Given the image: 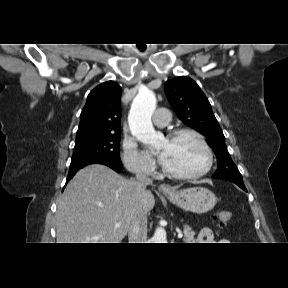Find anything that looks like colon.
Instances as JSON below:
<instances>
[{
    "label": "colon",
    "mask_w": 288,
    "mask_h": 288,
    "mask_svg": "<svg viewBox=\"0 0 288 288\" xmlns=\"http://www.w3.org/2000/svg\"><path fill=\"white\" fill-rule=\"evenodd\" d=\"M217 218L219 220V225L221 227H224L227 225L228 222L231 221L232 213L230 211H227V210H222V211L217 213Z\"/></svg>",
    "instance_id": "obj_1"
}]
</instances>
